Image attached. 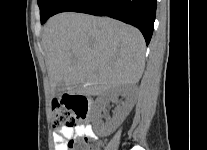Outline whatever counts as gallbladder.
I'll list each match as a JSON object with an SVG mask.
<instances>
[{
    "instance_id": "1",
    "label": "gallbladder",
    "mask_w": 207,
    "mask_h": 150,
    "mask_svg": "<svg viewBox=\"0 0 207 150\" xmlns=\"http://www.w3.org/2000/svg\"><path fill=\"white\" fill-rule=\"evenodd\" d=\"M66 89L65 83L63 81L59 82L55 88L56 96L61 95Z\"/></svg>"
}]
</instances>
